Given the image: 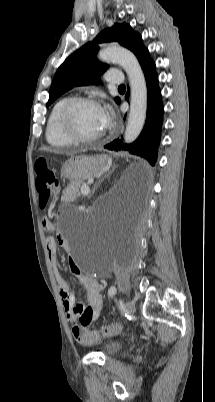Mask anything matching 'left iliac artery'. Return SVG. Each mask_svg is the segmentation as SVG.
I'll return each instance as SVG.
<instances>
[{"instance_id": "44dca946", "label": "left iliac artery", "mask_w": 215, "mask_h": 402, "mask_svg": "<svg viewBox=\"0 0 215 402\" xmlns=\"http://www.w3.org/2000/svg\"><path fill=\"white\" fill-rule=\"evenodd\" d=\"M116 291H117L116 287H115V286H111V287L109 288V290H108V295H109V297H112L113 295H115Z\"/></svg>"}]
</instances>
